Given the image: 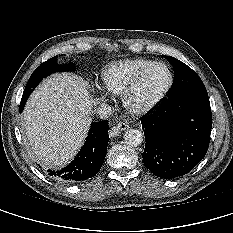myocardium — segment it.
<instances>
[{"mask_svg": "<svg viewBox=\"0 0 233 233\" xmlns=\"http://www.w3.org/2000/svg\"><path fill=\"white\" fill-rule=\"evenodd\" d=\"M161 66L166 69L168 73V81L164 88L149 102L144 104H136L133 100V96L139 88L146 74L154 67ZM174 77L170 67L163 62H152L145 68H143L126 87L122 94V101L124 107L132 114L143 115L152 111L167 95L173 85Z\"/></svg>", "mask_w": 233, "mask_h": 233, "instance_id": "1", "label": "myocardium"}]
</instances>
